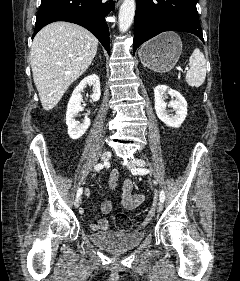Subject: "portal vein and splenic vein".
I'll return each instance as SVG.
<instances>
[{"mask_svg": "<svg viewBox=\"0 0 240 281\" xmlns=\"http://www.w3.org/2000/svg\"><path fill=\"white\" fill-rule=\"evenodd\" d=\"M177 69L182 72L183 70L180 67H177ZM185 71H188V68H185Z\"/></svg>", "mask_w": 240, "mask_h": 281, "instance_id": "portal-vein-and-splenic-vein-1", "label": "portal vein and splenic vein"}]
</instances>
